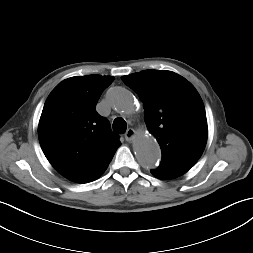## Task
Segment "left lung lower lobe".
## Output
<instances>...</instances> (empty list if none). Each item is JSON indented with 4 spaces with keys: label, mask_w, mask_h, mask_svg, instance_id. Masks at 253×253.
Instances as JSON below:
<instances>
[{
    "label": "left lung lower lobe",
    "mask_w": 253,
    "mask_h": 253,
    "mask_svg": "<svg viewBox=\"0 0 253 253\" xmlns=\"http://www.w3.org/2000/svg\"><path fill=\"white\" fill-rule=\"evenodd\" d=\"M190 168L160 164L157 169L151 170L153 176L160 179H172L186 173Z\"/></svg>",
    "instance_id": "obj_1"
}]
</instances>
